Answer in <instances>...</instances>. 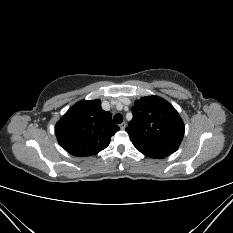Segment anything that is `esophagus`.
<instances>
[{
	"mask_svg": "<svg viewBox=\"0 0 233 233\" xmlns=\"http://www.w3.org/2000/svg\"><path fill=\"white\" fill-rule=\"evenodd\" d=\"M119 126H120L121 130H124L126 128L127 124H126V122H122Z\"/></svg>",
	"mask_w": 233,
	"mask_h": 233,
	"instance_id": "esophagus-1",
	"label": "esophagus"
}]
</instances>
